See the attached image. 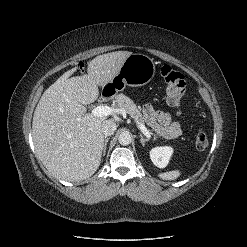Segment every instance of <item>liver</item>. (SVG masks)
I'll list each match as a JSON object with an SVG mask.
<instances>
[{"label":"liver","mask_w":247,"mask_h":247,"mask_svg":"<svg viewBox=\"0 0 247 247\" xmlns=\"http://www.w3.org/2000/svg\"><path fill=\"white\" fill-rule=\"evenodd\" d=\"M132 52L116 51L95 57L87 73L69 78L77 68L64 73L43 93L32 122L37 155L56 178L76 182L92 176L101 163L106 117L86 113L85 105L99 96L120 71Z\"/></svg>","instance_id":"obj_1"}]
</instances>
